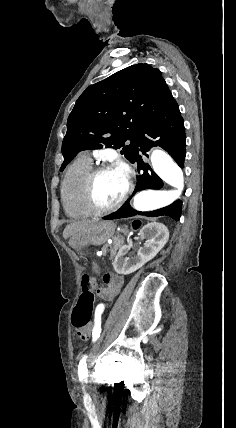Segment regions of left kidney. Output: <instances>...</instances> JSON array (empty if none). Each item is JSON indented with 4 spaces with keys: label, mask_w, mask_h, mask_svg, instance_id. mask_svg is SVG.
Listing matches in <instances>:
<instances>
[{
    "label": "left kidney",
    "mask_w": 236,
    "mask_h": 428,
    "mask_svg": "<svg viewBox=\"0 0 236 428\" xmlns=\"http://www.w3.org/2000/svg\"><path fill=\"white\" fill-rule=\"evenodd\" d=\"M141 240H146L143 248H140L137 254H131L129 258H124L131 250V246H122L120 248L114 262L113 268L117 274H132L139 268H142L146 262L155 258L156 254L164 248L168 242L169 232L164 224L153 222V224H146L139 232Z\"/></svg>",
    "instance_id": "obj_1"
}]
</instances>
